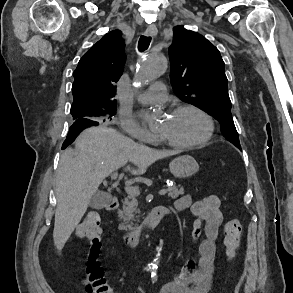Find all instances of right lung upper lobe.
<instances>
[{"instance_id":"right-lung-upper-lobe-1","label":"right lung upper lobe","mask_w":293,"mask_h":293,"mask_svg":"<svg viewBox=\"0 0 293 293\" xmlns=\"http://www.w3.org/2000/svg\"><path fill=\"white\" fill-rule=\"evenodd\" d=\"M124 46L121 32L113 30L80 59L73 73L74 100L71 110H92L116 105L115 83L123 72Z\"/></svg>"}]
</instances>
